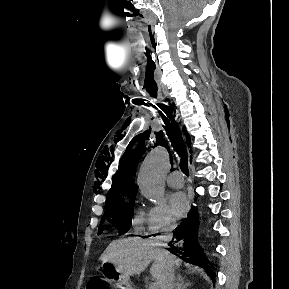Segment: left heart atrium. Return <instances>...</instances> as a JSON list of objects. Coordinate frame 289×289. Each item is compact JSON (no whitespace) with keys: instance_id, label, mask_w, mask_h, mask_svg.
Masks as SVG:
<instances>
[{"instance_id":"1","label":"left heart atrium","mask_w":289,"mask_h":289,"mask_svg":"<svg viewBox=\"0 0 289 289\" xmlns=\"http://www.w3.org/2000/svg\"><path fill=\"white\" fill-rule=\"evenodd\" d=\"M170 210L176 217H181L188 210V199L183 192H174L169 198Z\"/></svg>"}]
</instances>
